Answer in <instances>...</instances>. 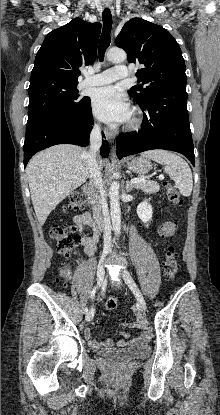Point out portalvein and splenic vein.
<instances>
[{
	"instance_id": "18ae733b",
	"label": "portal vein and splenic vein",
	"mask_w": 220,
	"mask_h": 415,
	"mask_svg": "<svg viewBox=\"0 0 220 415\" xmlns=\"http://www.w3.org/2000/svg\"><path fill=\"white\" fill-rule=\"evenodd\" d=\"M159 178L160 179H163L164 178V175H160L159 176ZM146 180V177H140V178H133V179H131V183L132 184H134V183H139V182H143V181H145Z\"/></svg>"
}]
</instances>
